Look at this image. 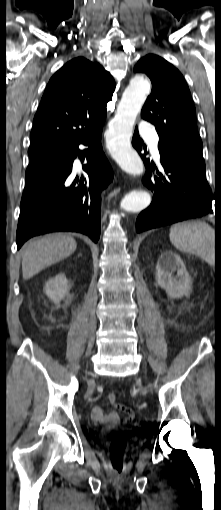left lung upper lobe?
I'll return each instance as SVG.
<instances>
[{
    "instance_id": "1",
    "label": "left lung upper lobe",
    "mask_w": 221,
    "mask_h": 510,
    "mask_svg": "<svg viewBox=\"0 0 221 510\" xmlns=\"http://www.w3.org/2000/svg\"><path fill=\"white\" fill-rule=\"evenodd\" d=\"M133 71L147 74L152 81V91L142 108L141 117L155 125L159 150L205 167L195 107L182 74L154 54L141 58Z\"/></svg>"
}]
</instances>
